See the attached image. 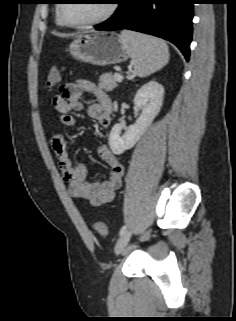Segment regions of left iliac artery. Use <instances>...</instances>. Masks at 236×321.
<instances>
[{
    "mask_svg": "<svg viewBox=\"0 0 236 321\" xmlns=\"http://www.w3.org/2000/svg\"><path fill=\"white\" fill-rule=\"evenodd\" d=\"M125 231H126V226H123V227L120 229L119 234H120V235H123Z\"/></svg>",
    "mask_w": 236,
    "mask_h": 321,
    "instance_id": "obj_1",
    "label": "left iliac artery"
}]
</instances>
